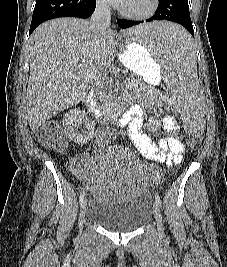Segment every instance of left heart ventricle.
I'll list each match as a JSON object with an SVG mask.
<instances>
[{
    "label": "left heart ventricle",
    "mask_w": 227,
    "mask_h": 267,
    "mask_svg": "<svg viewBox=\"0 0 227 267\" xmlns=\"http://www.w3.org/2000/svg\"><path fill=\"white\" fill-rule=\"evenodd\" d=\"M150 0H129L124 6L126 9L140 12L148 8Z\"/></svg>",
    "instance_id": "b2bd125f"
}]
</instances>
